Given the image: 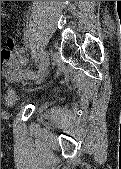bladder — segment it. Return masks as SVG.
Listing matches in <instances>:
<instances>
[{
  "instance_id": "obj_1",
  "label": "bladder",
  "mask_w": 121,
  "mask_h": 169,
  "mask_svg": "<svg viewBox=\"0 0 121 169\" xmlns=\"http://www.w3.org/2000/svg\"><path fill=\"white\" fill-rule=\"evenodd\" d=\"M21 97L16 93L15 89L8 87L4 95V104L9 109H15L21 104Z\"/></svg>"
}]
</instances>
